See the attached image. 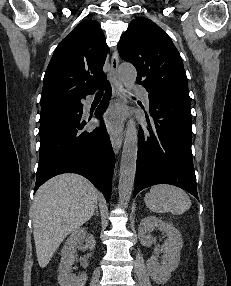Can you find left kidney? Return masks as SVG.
I'll list each match as a JSON object with an SVG mask.
<instances>
[{
  "label": "left kidney",
  "mask_w": 231,
  "mask_h": 286,
  "mask_svg": "<svg viewBox=\"0 0 231 286\" xmlns=\"http://www.w3.org/2000/svg\"><path fill=\"white\" fill-rule=\"evenodd\" d=\"M159 230L165 233L167 239L161 249L156 252L163 253L162 262L159 264L156 256L147 260V270L153 281L158 284L166 283L171 277L180 261V251L183 246L181 233L172 224L164 222L155 216H147L140 222L138 234L140 241L145 246H151L154 243L152 232Z\"/></svg>",
  "instance_id": "left-kidney-1"
}]
</instances>
